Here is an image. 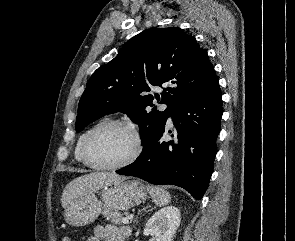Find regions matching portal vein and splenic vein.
Listing matches in <instances>:
<instances>
[{"label": "portal vein and splenic vein", "mask_w": 295, "mask_h": 241, "mask_svg": "<svg viewBox=\"0 0 295 241\" xmlns=\"http://www.w3.org/2000/svg\"><path fill=\"white\" fill-rule=\"evenodd\" d=\"M122 223H124V224H128V223H129V219H128V218H123V219H122Z\"/></svg>", "instance_id": "18ae733b"}]
</instances>
